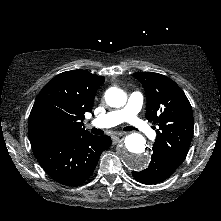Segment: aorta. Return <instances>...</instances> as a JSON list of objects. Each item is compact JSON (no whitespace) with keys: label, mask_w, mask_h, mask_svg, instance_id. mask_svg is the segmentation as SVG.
<instances>
[{"label":"aorta","mask_w":221,"mask_h":221,"mask_svg":"<svg viewBox=\"0 0 221 221\" xmlns=\"http://www.w3.org/2000/svg\"><path fill=\"white\" fill-rule=\"evenodd\" d=\"M105 101L111 107L120 108L126 104L127 96L121 89L112 87L106 91ZM118 153L121 162L134 171L144 169L149 161L146 140L139 133L127 135Z\"/></svg>","instance_id":"762f6f07"}]
</instances>
